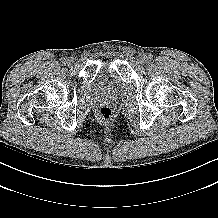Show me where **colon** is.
<instances>
[{
	"label": "colon",
	"mask_w": 218,
	"mask_h": 218,
	"mask_svg": "<svg viewBox=\"0 0 218 218\" xmlns=\"http://www.w3.org/2000/svg\"><path fill=\"white\" fill-rule=\"evenodd\" d=\"M113 113L109 107L103 106L97 110V117L101 122L109 123L112 119Z\"/></svg>",
	"instance_id": "5ec220e1"
}]
</instances>
